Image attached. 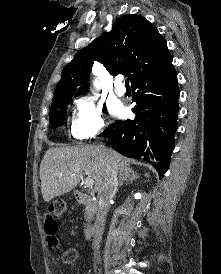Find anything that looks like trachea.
I'll return each mask as SVG.
<instances>
[{
	"mask_svg": "<svg viewBox=\"0 0 221 274\" xmlns=\"http://www.w3.org/2000/svg\"><path fill=\"white\" fill-rule=\"evenodd\" d=\"M125 85H126V86H129V79H126V80H125Z\"/></svg>",
	"mask_w": 221,
	"mask_h": 274,
	"instance_id": "obj_1",
	"label": "trachea"
}]
</instances>
